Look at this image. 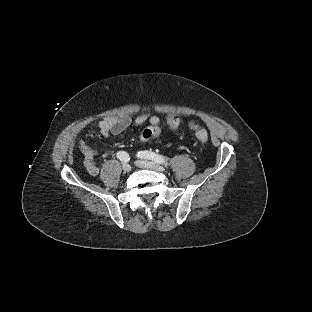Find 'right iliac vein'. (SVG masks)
I'll return each mask as SVG.
<instances>
[{
    "label": "right iliac vein",
    "instance_id": "right-iliac-vein-1",
    "mask_svg": "<svg viewBox=\"0 0 312 312\" xmlns=\"http://www.w3.org/2000/svg\"><path fill=\"white\" fill-rule=\"evenodd\" d=\"M122 170H123L124 172H130V171H131V166H130L128 163H124V164L122 165Z\"/></svg>",
    "mask_w": 312,
    "mask_h": 312
}]
</instances>
